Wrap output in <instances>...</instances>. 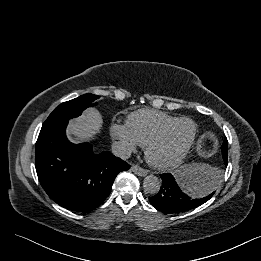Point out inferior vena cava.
Listing matches in <instances>:
<instances>
[{
    "mask_svg": "<svg viewBox=\"0 0 261 261\" xmlns=\"http://www.w3.org/2000/svg\"><path fill=\"white\" fill-rule=\"evenodd\" d=\"M112 153L122 159H128L131 156L130 148L125 144L117 141L112 144Z\"/></svg>",
    "mask_w": 261,
    "mask_h": 261,
    "instance_id": "602c4592",
    "label": "inferior vena cava"
}]
</instances>
